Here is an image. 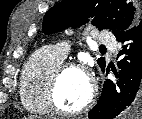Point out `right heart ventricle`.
I'll use <instances>...</instances> for the list:
<instances>
[{
  "mask_svg": "<svg viewBox=\"0 0 142 119\" xmlns=\"http://www.w3.org/2000/svg\"><path fill=\"white\" fill-rule=\"evenodd\" d=\"M63 62L52 47H42L31 55L20 78V98L26 110L40 115L51 112L46 88L52 74Z\"/></svg>",
  "mask_w": 142,
  "mask_h": 119,
  "instance_id": "right-heart-ventricle-1",
  "label": "right heart ventricle"
}]
</instances>
